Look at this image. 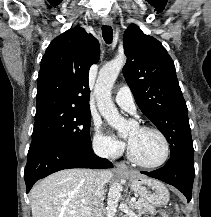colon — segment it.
I'll list each match as a JSON object with an SVG mask.
<instances>
[{"instance_id":"obj_1","label":"colon","mask_w":211,"mask_h":217,"mask_svg":"<svg viewBox=\"0 0 211 217\" xmlns=\"http://www.w3.org/2000/svg\"><path fill=\"white\" fill-rule=\"evenodd\" d=\"M162 217H176V216H171V215L163 214Z\"/></svg>"}]
</instances>
